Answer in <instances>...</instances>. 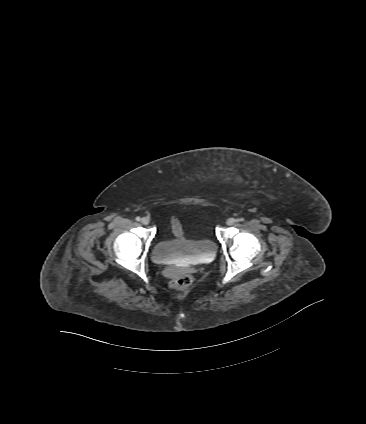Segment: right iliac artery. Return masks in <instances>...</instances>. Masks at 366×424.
<instances>
[{
  "instance_id": "obj_1",
  "label": "right iliac artery",
  "mask_w": 366,
  "mask_h": 424,
  "mask_svg": "<svg viewBox=\"0 0 366 424\" xmlns=\"http://www.w3.org/2000/svg\"><path fill=\"white\" fill-rule=\"evenodd\" d=\"M141 220V218L140 217H136V221H140Z\"/></svg>"
}]
</instances>
